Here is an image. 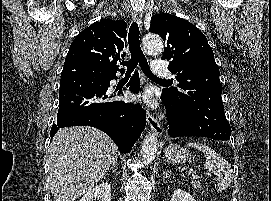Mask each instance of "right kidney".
Here are the masks:
<instances>
[{
  "label": "right kidney",
  "instance_id": "1",
  "mask_svg": "<svg viewBox=\"0 0 271 201\" xmlns=\"http://www.w3.org/2000/svg\"><path fill=\"white\" fill-rule=\"evenodd\" d=\"M111 201V185L108 182H102L95 188L84 194L80 201Z\"/></svg>",
  "mask_w": 271,
  "mask_h": 201
}]
</instances>
